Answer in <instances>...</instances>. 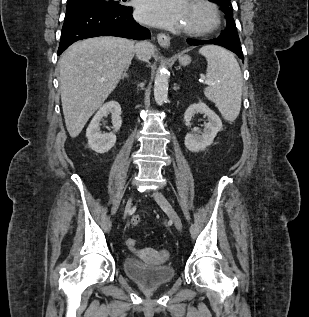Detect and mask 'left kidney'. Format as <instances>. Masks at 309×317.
Returning a JSON list of instances; mask_svg holds the SVG:
<instances>
[{"mask_svg": "<svg viewBox=\"0 0 309 317\" xmlns=\"http://www.w3.org/2000/svg\"><path fill=\"white\" fill-rule=\"evenodd\" d=\"M197 113L205 114L208 117V123L205 124L203 132L199 128H194L192 133L185 136L184 144L191 152L205 150L213 143L217 133L222 129L220 117L203 102L194 103L187 108L184 113L185 124L189 125L192 117Z\"/></svg>", "mask_w": 309, "mask_h": 317, "instance_id": "1", "label": "left kidney"}]
</instances>
